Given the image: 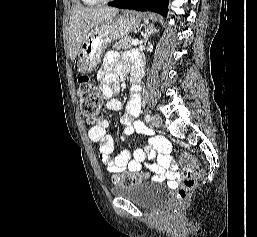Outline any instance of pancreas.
I'll use <instances>...</instances> for the list:
<instances>
[{
	"mask_svg": "<svg viewBox=\"0 0 257 237\" xmlns=\"http://www.w3.org/2000/svg\"><path fill=\"white\" fill-rule=\"evenodd\" d=\"M131 42V38H124L118 42H115V44L112 45V48L116 50H127L131 48Z\"/></svg>",
	"mask_w": 257,
	"mask_h": 237,
	"instance_id": "cf45deb5",
	"label": "pancreas"
}]
</instances>
